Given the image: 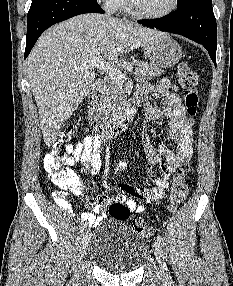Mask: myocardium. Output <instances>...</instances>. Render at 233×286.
I'll return each instance as SVG.
<instances>
[{
	"label": "myocardium",
	"mask_w": 233,
	"mask_h": 286,
	"mask_svg": "<svg viewBox=\"0 0 233 286\" xmlns=\"http://www.w3.org/2000/svg\"><path fill=\"white\" fill-rule=\"evenodd\" d=\"M127 5L129 7V10L136 16L144 18V19H150V20H158V19H163L166 18L170 15H172L178 8L179 1L178 0H172V5L171 7L160 14H150L147 12H144L139 8L135 0H126Z\"/></svg>",
	"instance_id": "obj_1"
}]
</instances>
